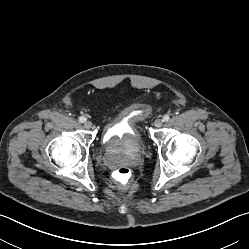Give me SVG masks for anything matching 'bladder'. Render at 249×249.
I'll use <instances>...</instances> for the list:
<instances>
[{
  "instance_id": "bladder-1",
  "label": "bladder",
  "mask_w": 249,
  "mask_h": 249,
  "mask_svg": "<svg viewBox=\"0 0 249 249\" xmlns=\"http://www.w3.org/2000/svg\"><path fill=\"white\" fill-rule=\"evenodd\" d=\"M150 108L144 103H134L123 113L110 120L102 139V146L106 153H112L124 147L144 148L140 134V124L149 116Z\"/></svg>"
}]
</instances>
